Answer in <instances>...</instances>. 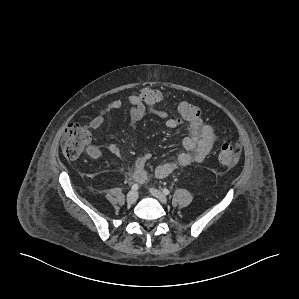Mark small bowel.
<instances>
[{
  "label": "small bowel",
  "mask_w": 299,
  "mask_h": 299,
  "mask_svg": "<svg viewBox=\"0 0 299 299\" xmlns=\"http://www.w3.org/2000/svg\"><path fill=\"white\" fill-rule=\"evenodd\" d=\"M125 104L129 106V116L133 122H137L144 116L151 114L164 120L166 127L170 129H176L180 125L166 110L146 108L138 93L126 96L125 100H113L103 106L99 114L90 122L91 129L96 130L101 127L108 113L122 108ZM187 131V134L181 140L184 151L178 155L176 160L158 165L154 171L157 178H165L179 168L201 163L210 153L216 138L214 129L210 125L206 124L201 118H197L187 124ZM107 149L115 156L120 155V149L116 144L108 145ZM92 155L99 157L101 152L94 150ZM150 159V153H145L136 159L132 175L138 183L148 181L149 176L146 165Z\"/></svg>",
  "instance_id": "1"
}]
</instances>
